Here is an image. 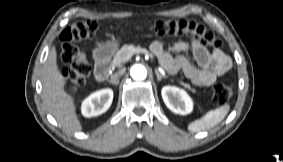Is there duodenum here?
<instances>
[{
  "label": "duodenum",
  "instance_id": "obj_1",
  "mask_svg": "<svg viewBox=\"0 0 283 162\" xmlns=\"http://www.w3.org/2000/svg\"><path fill=\"white\" fill-rule=\"evenodd\" d=\"M110 73V52L99 49L95 53V76L99 81H104Z\"/></svg>",
  "mask_w": 283,
  "mask_h": 162
}]
</instances>
